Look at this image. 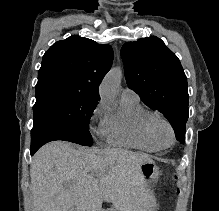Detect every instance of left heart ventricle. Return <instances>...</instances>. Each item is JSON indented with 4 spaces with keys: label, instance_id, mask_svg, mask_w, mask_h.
I'll return each instance as SVG.
<instances>
[{
    "label": "left heart ventricle",
    "instance_id": "obj_1",
    "mask_svg": "<svg viewBox=\"0 0 219 211\" xmlns=\"http://www.w3.org/2000/svg\"><path fill=\"white\" fill-rule=\"evenodd\" d=\"M158 137L160 141L164 144H167L171 141V135L168 128L164 125L159 126L158 128Z\"/></svg>",
    "mask_w": 219,
    "mask_h": 211
}]
</instances>
